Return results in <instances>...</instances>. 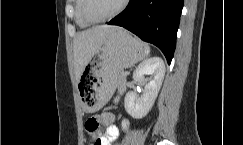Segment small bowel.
I'll list each match as a JSON object with an SVG mask.
<instances>
[{"instance_id": "obj_1", "label": "small bowel", "mask_w": 243, "mask_h": 145, "mask_svg": "<svg viewBox=\"0 0 243 145\" xmlns=\"http://www.w3.org/2000/svg\"><path fill=\"white\" fill-rule=\"evenodd\" d=\"M99 123L106 126L105 132L99 129L90 134V141L88 145H112V143L119 137V129L115 124V115L112 113H101L97 116Z\"/></svg>"}]
</instances>
